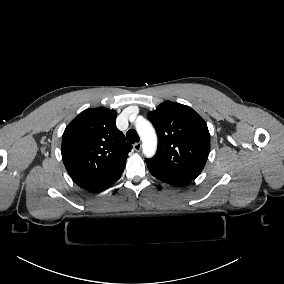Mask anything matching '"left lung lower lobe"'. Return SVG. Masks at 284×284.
<instances>
[{
  "instance_id": "left-lung-lower-lobe-1",
  "label": "left lung lower lobe",
  "mask_w": 284,
  "mask_h": 284,
  "mask_svg": "<svg viewBox=\"0 0 284 284\" xmlns=\"http://www.w3.org/2000/svg\"><path fill=\"white\" fill-rule=\"evenodd\" d=\"M150 173L157 179L168 183L173 186H182L190 183L192 179L182 177V176H176V175H171L168 173H164L158 170H155L153 168L148 167Z\"/></svg>"
}]
</instances>
